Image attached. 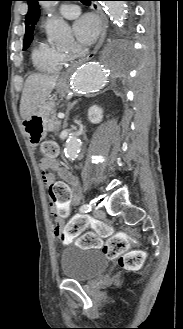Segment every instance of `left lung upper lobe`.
<instances>
[{
    "label": "left lung upper lobe",
    "instance_id": "1",
    "mask_svg": "<svg viewBox=\"0 0 183 329\" xmlns=\"http://www.w3.org/2000/svg\"><path fill=\"white\" fill-rule=\"evenodd\" d=\"M28 3V13L25 17V37H24V47L23 50H26L30 43L33 40V31L35 28V24L39 19V5L38 1L40 0H25Z\"/></svg>",
    "mask_w": 183,
    "mask_h": 329
}]
</instances>
